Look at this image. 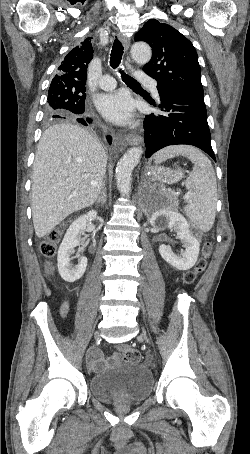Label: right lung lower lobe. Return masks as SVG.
<instances>
[{"label": "right lung lower lobe", "instance_id": "right-lung-lower-lobe-1", "mask_svg": "<svg viewBox=\"0 0 250 454\" xmlns=\"http://www.w3.org/2000/svg\"><path fill=\"white\" fill-rule=\"evenodd\" d=\"M75 118H76V120H77L79 123H81V124H83V125H87V123H91V122H92V119H91V118L88 117V118H85V119H84V118L80 117V114H79V115H75ZM107 140H108V142L111 144L112 138H111L110 136H107Z\"/></svg>", "mask_w": 250, "mask_h": 454}]
</instances>
